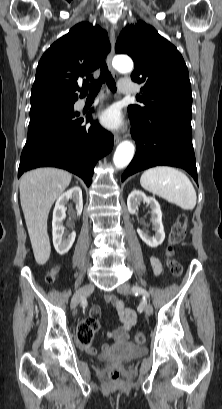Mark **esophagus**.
<instances>
[{
  "mask_svg": "<svg viewBox=\"0 0 222 409\" xmlns=\"http://www.w3.org/2000/svg\"><path fill=\"white\" fill-rule=\"evenodd\" d=\"M109 40H110V44H111V50L107 56V64L108 67L113 75V77L115 79L118 78V74L116 73V71L114 70L113 66H112V59H113V55H114V46H115V28L111 27L110 29V33H109ZM121 140V136L119 134H116L114 136V144H118Z\"/></svg>",
  "mask_w": 222,
  "mask_h": 409,
  "instance_id": "34e87169",
  "label": "esophagus"
}]
</instances>
